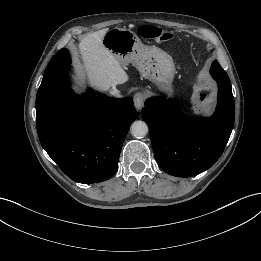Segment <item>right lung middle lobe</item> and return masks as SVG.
Here are the masks:
<instances>
[{
	"label": "right lung middle lobe",
	"instance_id": "obj_1",
	"mask_svg": "<svg viewBox=\"0 0 261 261\" xmlns=\"http://www.w3.org/2000/svg\"><path fill=\"white\" fill-rule=\"evenodd\" d=\"M70 55L67 49H61L49 62L45 69L43 80L37 97L42 95L57 79L70 69Z\"/></svg>",
	"mask_w": 261,
	"mask_h": 261
}]
</instances>
